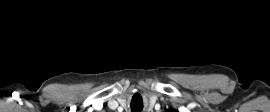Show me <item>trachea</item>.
Listing matches in <instances>:
<instances>
[{
  "label": "trachea",
  "instance_id": "3493384b",
  "mask_svg": "<svg viewBox=\"0 0 270 112\" xmlns=\"http://www.w3.org/2000/svg\"><path fill=\"white\" fill-rule=\"evenodd\" d=\"M131 109H132V111H133V112H136V111H141V110H142V108H140V109H139V108H137V107H134V108H133V107H131Z\"/></svg>",
  "mask_w": 270,
  "mask_h": 112
}]
</instances>
